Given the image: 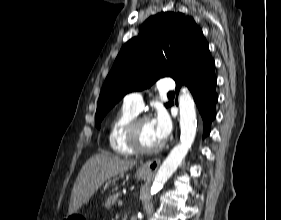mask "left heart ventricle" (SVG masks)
I'll list each match as a JSON object with an SVG mask.
<instances>
[{"label":"left heart ventricle","mask_w":281,"mask_h":220,"mask_svg":"<svg viewBox=\"0 0 281 220\" xmlns=\"http://www.w3.org/2000/svg\"><path fill=\"white\" fill-rule=\"evenodd\" d=\"M140 142L145 147H155L161 143L158 139L151 120H144L139 126Z\"/></svg>","instance_id":"obj_1"}]
</instances>
